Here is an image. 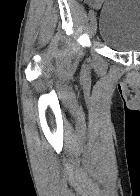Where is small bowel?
<instances>
[{
  "label": "small bowel",
  "mask_w": 140,
  "mask_h": 196,
  "mask_svg": "<svg viewBox=\"0 0 140 196\" xmlns=\"http://www.w3.org/2000/svg\"><path fill=\"white\" fill-rule=\"evenodd\" d=\"M94 2H96V3H99L100 2V0H93Z\"/></svg>",
  "instance_id": "small-bowel-1"
}]
</instances>
